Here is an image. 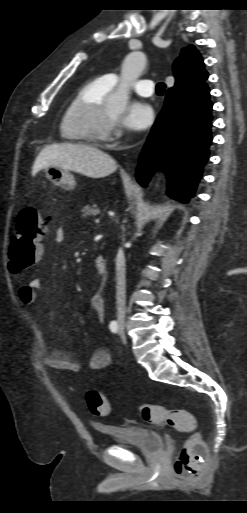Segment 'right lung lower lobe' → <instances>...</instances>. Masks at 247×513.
<instances>
[{
	"instance_id": "obj_1",
	"label": "right lung lower lobe",
	"mask_w": 247,
	"mask_h": 513,
	"mask_svg": "<svg viewBox=\"0 0 247 513\" xmlns=\"http://www.w3.org/2000/svg\"><path fill=\"white\" fill-rule=\"evenodd\" d=\"M212 106L206 83L191 92L167 91L140 156L136 178L142 186L161 168L173 198L188 202L194 196L212 141Z\"/></svg>"
}]
</instances>
